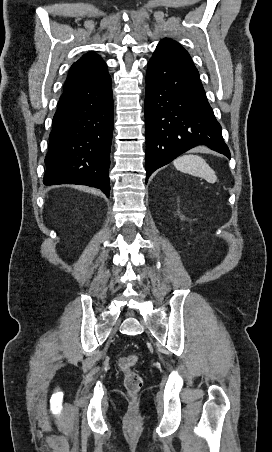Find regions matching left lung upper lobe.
I'll return each mask as SVG.
<instances>
[{
    "label": "left lung upper lobe",
    "mask_w": 272,
    "mask_h": 452,
    "mask_svg": "<svg viewBox=\"0 0 272 452\" xmlns=\"http://www.w3.org/2000/svg\"><path fill=\"white\" fill-rule=\"evenodd\" d=\"M160 43L172 44L173 46L177 47L178 49H180L181 51H183L184 53L189 55L188 52L179 43H177L176 41H174L172 39L165 38V39L161 40Z\"/></svg>",
    "instance_id": "left-lung-upper-lobe-1"
}]
</instances>
